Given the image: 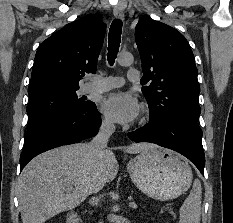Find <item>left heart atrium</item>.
<instances>
[{
  "label": "left heart atrium",
  "mask_w": 233,
  "mask_h": 223,
  "mask_svg": "<svg viewBox=\"0 0 233 223\" xmlns=\"http://www.w3.org/2000/svg\"><path fill=\"white\" fill-rule=\"evenodd\" d=\"M101 108L107 117L121 124L135 122L141 112L139 101L130 94L113 95L102 102Z\"/></svg>",
  "instance_id": "39dd6f15"
}]
</instances>
